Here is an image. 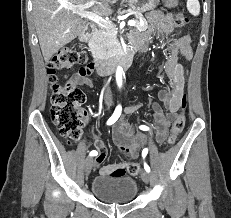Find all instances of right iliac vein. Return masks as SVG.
<instances>
[{"instance_id": "obj_1", "label": "right iliac vein", "mask_w": 231, "mask_h": 218, "mask_svg": "<svg viewBox=\"0 0 231 218\" xmlns=\"http://www.w3.org/2000/svg\"><path fill=\"white\" fill-rule=\"evenodd\" d=\"M92 166H93V158L87 157L84 163V172L86 176L90 174Z\"/></svg>"}]
</instances>
